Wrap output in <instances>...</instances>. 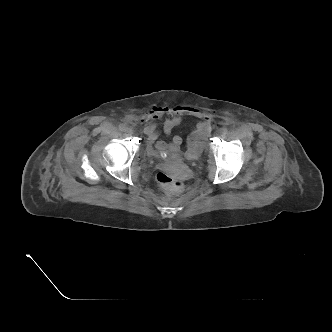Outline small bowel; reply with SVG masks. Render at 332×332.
<instances>
[{
	"label": "small bowel",
	"mask_w": 332,
	"mask_h": 332,
	"mask_svg": "<svg viewBox=\"0 0 332 332\" xmlns=\"http://www.w3.org/2000/svg\"><path fill=\"white\" fill-rule=\"evenodd\" d=\"M190 109L185 106H160L154 107L145 117L147 120H157L165 115H168L162 123V131L167 135L171 136L173 129L183 122V115L189 113ZM159 128L155 122H150L144 128L146 135V141L149 145L154 144L156 149L159 151L166 150H178L182 145V138L178 135L171 136V140L166 142L159 140ZM210 133V124L207 120L198 121L193 128L188 141L187 147H202L205 141L208 139Z\"/></svg>",
	"instance_id": "c3829d8e"
}]
</instances>
